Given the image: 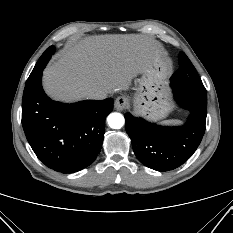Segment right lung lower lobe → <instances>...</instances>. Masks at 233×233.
<instances>
[{
    "label": "right lung lower lobe",
    "mask_w": 233,
    "mask_h": 233,
    "mask_svg": "<svg viewBox=\"0 0 233 233\" xmlns=\"http://www.w3.org/2000/svg\"><path fill=\"white\" fill-rule=\"evenodd\" d=\"M43 69L26 81L22 126L41 162L55 171L74 173L92 164L99 154L113 99L74 104L53 101L42 89Z\"/></svg>",
    "instance_id": "right-lung-lower-lobe-1"
}]
</instances>
